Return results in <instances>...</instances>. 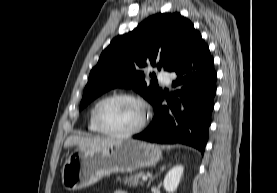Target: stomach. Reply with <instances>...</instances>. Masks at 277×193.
<instances>
[{
  "label": "stomach",
  "mask_w": 277,
  "mask_h": 193,
  "mask_svg": "<svg viewBox=\"0 0 277 193\" xmlns=\"http://www.w3.org/2000/svg\"><path fill=\"white\" fill-rule=\"evenodd\" d=\"M160 148L139 140H118L101 149L76 148L61 170L62 184L73 191L89 187L112 173L134 172L155 165Z\"/></svg>",
  "instance_id": "0dacf381"
}]
</instances>
